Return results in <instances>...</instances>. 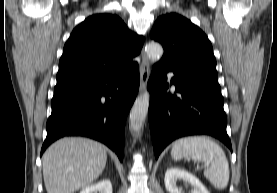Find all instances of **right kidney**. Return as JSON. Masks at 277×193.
<instances>
[{"label": "right kidney", "instance_id": "obj_1", "mask_svg": "<svg viewBox=\"0 0 277 193\" xmlns=\"http://www.w3.org/2000/svg\"><path fill=\"white\" fill-rule=\"evenodd\" d=\"M80 193H112V184L110 180H102L84 188Z\"/></svg>", "mask_w": 277, "mask_h": 193}]
</instances>
